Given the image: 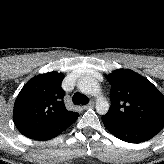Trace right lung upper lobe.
<instances>
[{
  "label": "right lung upper lobe",
  "mask_w": 164,
  "mask_h": 164,
  "mask_svg": "<svg viewBox=\"0 0 164 164\" xmlns=\"http://www.w3.org/2000/svg\"><path fill=\"white\" fill-rule=\"evenodd\" d=\"M63 79L62 73L48 72L33 77L21 89L14 104L13 120L23 135L28 136L77 114L65 107Z\"/></svg>",
  "instance_id": "cb5924a9"
}]
</instances>
